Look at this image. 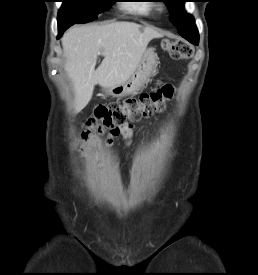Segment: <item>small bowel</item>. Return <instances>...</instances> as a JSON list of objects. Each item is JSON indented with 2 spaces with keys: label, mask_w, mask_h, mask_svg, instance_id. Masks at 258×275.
Wrapping results in <instances>:
<instances>
[{
  "label": "small bowel",
  "mask_w": 258,
  "mask_h": 275,
  "mask_svg": "<svg viewBox=\"0 0 258 275\" xmlns=\"http://www.w3.org/2000/svg\"><path fill=\"white\" fill-rule=\"evenodd\" d=\"M123 135L125 136L126 140H127V144L131 145L133 143V130L132 129H125L122 130ZM109 143H111V141H109Z\"/></svg>",
  "instance_id": "1"
}]
</instances>
